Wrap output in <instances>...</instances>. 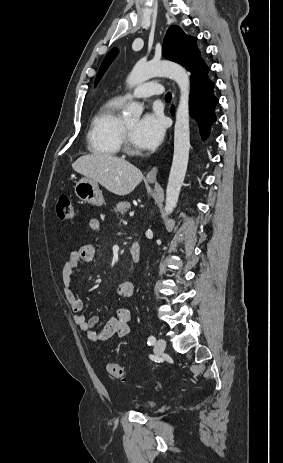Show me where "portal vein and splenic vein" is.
I'll use <instances>...</instances> for the list:
<instances>
[{"label": "portal vein and splenic vein", "mask_w": 283, "mask_h": 463, "mask_svg": "<svg viewBox=\"0 0 283 463\" xmlns=\"http://www.w3.org/2000/svg\"><path fill=\"white\" fill-rule=\"evenodd\" d=\"M129 215H130V216H134V212H130Z\"/></svg>", "instance_id": "portal-vein-and-splenic-vein-1"}]
</instances>
